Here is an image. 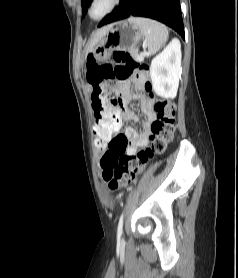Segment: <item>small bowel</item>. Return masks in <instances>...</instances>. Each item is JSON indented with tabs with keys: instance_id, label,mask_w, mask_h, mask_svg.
Masks as SVG:
<instances>
[{
	"instance_id": "obj_1",
	"label": "small bowel",
	"mask_w": 238,
	"mask_h": 278,
	"mask_svg": "<svg viewBox=\"0 0 238 278\" xmlns=\"http://www.w3.org/2000/svg\"><path fill=\"white\" fill-rule=\"evenodd\" d=\"M134 84L137 93L131 94L128 86L129 81L124 80L122 84H117V89H121L123 97L122 105V119L123 120H137L135 113L128 107L130 101L138 99L141 102V110L146 116L147 121L144 123L142 132L137 133L133 128L126 127L123 131H119L116 135H109L104 137V141H107L108 149L109 144H129V149H124L125 153L133 154L139 147H143L147 144L148 138L151 134V123L155 120V112L153 109L154 100L145 96V88L143 81L134 79ZM101 130V129H96ZM101 136V135H99ZM105 154V153H104Z\"/></svg>"
}]
</instances>
